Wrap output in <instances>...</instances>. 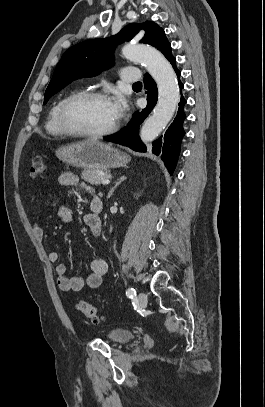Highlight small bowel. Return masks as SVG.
<instances>
[{
	"instance_id": "small-bowel-1",
	"label": "small bowel",
	"mask_w": 265,
	"mask_h": 407,
	"mask_svg": "<svg viewBox=\"0 0 265 407\" xmlns=\"http://www.w3.org/2000/svg\"><path fill=\"white\" fill-rule=\"evenodd\" d=\"M78 184L77 176L72 172H64L58 177V185L60 188L65 189ZM52 197L48 193L36 192L31 197V202L34 203L40 198ZM57 217L65 223H68L73 218V213L67 205H60L57 209ZM85 222L90 228L93 235L98 236L101 233L100 218L90 209V212L85 216ZM33 232L36 238L40 241L44 240V230L38 221L33 223ZM49 259L54 264L57 273V284L62 291H81L85 287L97 288L101 285L103 276L107 272V264L105 260L100 258H90L87 260L89 273L85 276L68 274V268L65 263L61 261L60 253L51 251Z\"/></svg>"
}]
</instances>
